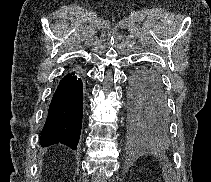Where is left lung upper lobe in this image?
Returning <instances> with one entry per match:
<instances>
[{
    "instance_id": "5c2ea615",
    "label": "left lung upper lobe",
    "mask_w": 211,
    "mask_h": 182,
    "mask_svg": "<svg viewBox=\"0 0 211 182\" xmlns=\"http://www.w3.org/2000/svg\"><path fill=\"white\" fill-rule=\"evenodd\" d=\"M130 113H131V116H133V118L135 119L136 123H139L140 125H142L147 131H149L150 133L152 132V130L146 126L144 123H142L141 121L137 120L134 115H133V110L130 109Z\"/></svg>"
}]
</instances>
